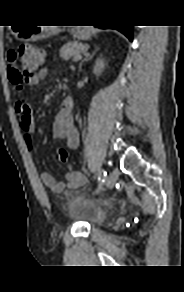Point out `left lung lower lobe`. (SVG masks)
<instances>
[{
	"label": "left lung lower lobe",
	"instance_id": "0a47b994",
	"mask_svg": "<svg viewBox=\"0 0 184 292\" xmlns=\"http://www.w3.org/2000/svg\"><path fill=\"white\" fill-rule=\"evenodd\" d=\"M99 28H113V29H117L120 32H122L124 35H126L130 40H132V27L133 26H105V25H99L96 26Z\"/></svg>",
	"mask_w": 184,
	"mask_h": 292
}]
</instances>
